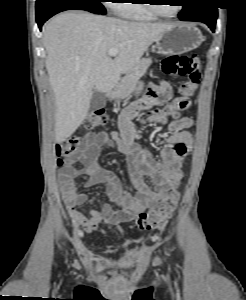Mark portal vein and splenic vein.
Returning <instances> with one entry per match:
<instances>
[{"mask_svg": "<svg viewBox=\"0 0 246 300\" xmlns=\"http://www.w3.org/2000/svg\"><path fill=\"white\" fill-rule=\"evenodd\" d=\"M118 54V49L116 48H111L108 50V55L111 57H115Z\"/></svg>", "mask_w": 246, "mask_h": 300, "instance_id": "1", "label": "portal vein and splenic vein"}]
</instances>
